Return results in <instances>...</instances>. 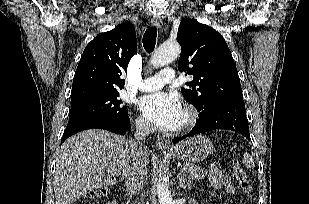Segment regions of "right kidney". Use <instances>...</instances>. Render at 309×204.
Instances as JSON below:
<instances>
[{
    "instance_id": "right-kidney-1",
    "label": "right kidney",
    "mask_w": 309,
    "mask_h": 204,
    "mask_svg": "<svg viewBox=\"0 0 309 204\" xmlns=\"http://www.w3.org/2000/svg\"><path fill=\"white\" fill-rule=\"evenodd\" d=\"M108 204H116V201H112L111 203H108Z\"/></svg>"
}]
</instances>
